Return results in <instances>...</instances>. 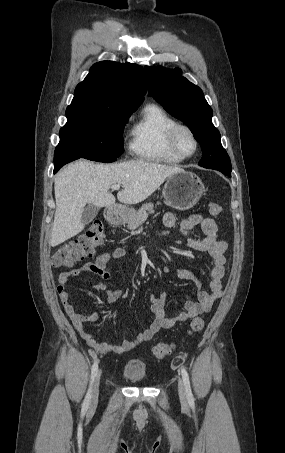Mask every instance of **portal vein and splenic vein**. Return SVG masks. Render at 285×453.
I'll return each instance as SVG.
<instances>
[{"label": "portal vein and splenic vein", "mask_w": 285, "mask_h": 453, "mask_svg": "<svg viewBox=\"0 0 285 453\" xmlns=\"http://www.w3.org/2000/svg\"><path fill=\"white\" fill-rule=\"evenodd\" d=\"M111 188L113 190H119L120 189V185L119 184H114V185L111 186Z\"/></svg>", "instance_id": "portal-vein-and-splenic-vein-1"}]
</instances>
